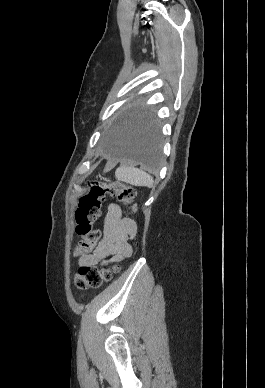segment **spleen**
I'll return each mask as SVG.
<instances>
[{"instance_id": "obj_1", "label": "spleen", "mask_w": 265, "mask_h": 388, "mask_svg": "<svg viewBox=\"0 0 265 388\" xmlns=\"http://www.w3.org/2000/svg\"><path fill=\"white\" fill-rule=\"evenodd\" d=\"M116 176L131 186H148V188L153 186V178L138 168H118Z\"/></svg>"}]
</instances>
